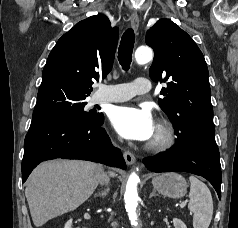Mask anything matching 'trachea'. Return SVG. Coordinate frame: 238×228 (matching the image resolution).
<instances>
[{"label":"trachea","mask_w":238,"mask_h":228,"mask_svg":"<svg viewBox=\"0 0 238 228\" xmlns=\"http://www.w3.org/2000/svg\"><path fill=\"white\" fill-rule=\"evenodd\" d=\"M135 35L132 29H127L123 34L118 50V60L123 70L128 71L132 61Z\"/></svg>","instance_id":"1"}]
</instances>
